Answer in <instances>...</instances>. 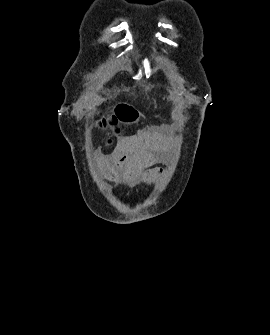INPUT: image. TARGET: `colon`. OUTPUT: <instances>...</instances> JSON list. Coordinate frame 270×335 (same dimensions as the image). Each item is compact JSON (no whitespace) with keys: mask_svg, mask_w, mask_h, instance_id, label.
<instances>
[{"mask_svg":"<svg viewBox=\"0 0 270 335\" xmlns=\"http://www.w3.org/2000/svg\"><path fill=\"white\" fill-rule=\"evenodd\" d=\"M123 106V105H120ZM139 116V111L138 110H117L116 111V116H108L107 117V122L108 123H121L122 122V117H125V122L126 123H135L136 122V117ZM111 133H119V128H111Z\"/></svg>","mask_w":270,"mask_h":335,"instance_id":"obj_1","label":"colon"}]
</instances>
